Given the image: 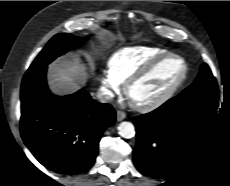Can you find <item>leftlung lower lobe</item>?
<instances>
[{
  "label": "left lung lower lobe",
  "instance_id": "1",
  "mask_svg": "<svg viewBox=\"0 0 230 186\" xmlns=\"http://www.w3.org/2000/svg\"><path fill=\"white\" fill-rule=\"evenodd\" d=\"M218 91L174 97L156 110L134 117V164L144 175L169 178L200 150L214 127Z\"/></svg>",
  "mask_w": 230,
  "mask_h": 186
}]
</instances>
